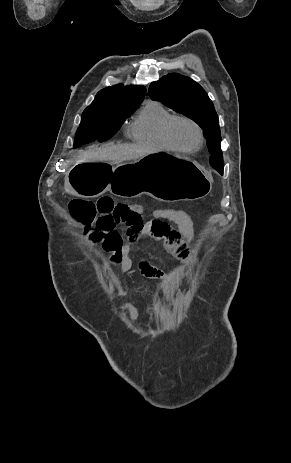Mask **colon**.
<instances>
[{"instance_id":"5ec220e1","label":"colon","mask_w":291,"mask_h":463,"mask_svg":"<svg viewBox=\"0 0 291 463\" xmlns=\"http://www.w3.org/2000/svg\"><path fill=\"white\" fill-rule=\"evenodd\" d=\"M69 211L86 228L95 226L96 229L110 230L127 219L131 205L110 197H101L97 201L76 198L70 202Z\"/></svg>"}]
</instances>
